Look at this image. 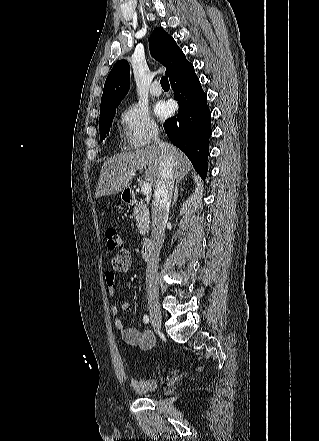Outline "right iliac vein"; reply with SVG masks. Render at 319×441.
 Instances as JSON below:
<instances>
[{"instance_id": "right-iliac-vein-1", "label": "right iliac vein", "mask_w": 319, "mask_h": 441, "mask_svg": "<svg viewBox=\"0 0 319 441\" xmlns=\"http://www.w3.org/2000/svg\"><path fill=\"white\" fill-rule=\"evenodd\" d=\"M149 312L155 330L159 331L162 325V314L156 301H149Z\"/></svg>"}]
</instances>
